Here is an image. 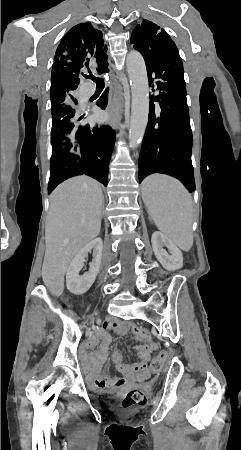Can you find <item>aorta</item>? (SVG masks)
Listing matches in <instances>:
<instances>
[{
	"instance_id": "aorta-1",
	"label": "aorta",
	"mask_w": 241,
	"mask_h": 450,
	"mask_svg": "<svg viewBox=\"0 0 241 450\" xmlns=\"http://www.w3.org/2000/svg\"><path fill=\"white\" fill-rule=\"evenodd\" d=\"M126 65L132 94L129 144L134 149L141 144L148 123L149 85L146 65L139 52H129Z\"/></svg>"
}]
</instances>
